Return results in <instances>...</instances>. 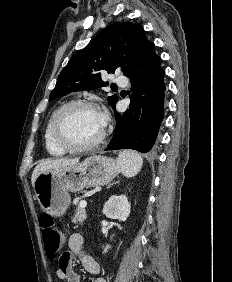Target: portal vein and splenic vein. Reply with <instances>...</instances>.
Here are the masks:
<instances>
[{
    "label": "portal vein and splenic vein",
    "mask_w": 232,
    "mask_h": 282,
    "mask_svg": "<svg viewBox=\"0 0 232 282\" xmlns=\"http://www.w3.org/2000/svg\"><path fill=\"white\" fill-rule=\"evenodd\" d=\"M80 208H85L87 206V202L85 200L80 201L79 203Z\"/></svg>",
    "instance_id": "portal-vein-and-splenic-vein-1"
}]
</instances>
